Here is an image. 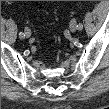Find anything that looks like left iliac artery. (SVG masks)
I'll return each instance as SVG.
<instances>
[{
	"instance_id": "obj_1",
	"label": "left iliac artery",
	"mask_w": 109,
	"mask_h": 109,
	"mask_svg": "<svg viewBox=\"0 0 109 109\" xmlns=\"http://www.w3.org/2000/svg\"><path fill=\"white\" fill-rule=\"evenodd\" d=\"M77 29H78V30H82V29H83V24H82V23H79V24L77 25Z\"/></svg>"
}]
</instances>
